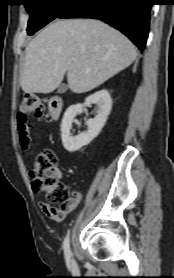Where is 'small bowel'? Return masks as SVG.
I'll return each mask as SVG.
<instances>
[{
    "label": "small bowel",
    "mask_w": 174,
    "mask_h": 278,
    "mask_svg": "<svg viewBox=\"0 0 174 278\" xmlns=\"http://www.w3.org/2000/svg\"><path fill=\"white\" fill-rule=\"evenodd\" d=\"M59 175V173H58ZM82 199L80 192H75L60 208H55L46 202H40L39 206L46 216L54 221H62L70 213L77 209Z\"/></svg>",
    "instance_id": "1"
}]
</instances>
